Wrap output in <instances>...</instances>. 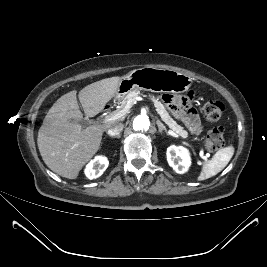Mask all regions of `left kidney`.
<instances>
[{"mask_svg":"<svg viewBox=\"0 0 267 267\" xmlns=\"http://www.w3.org/2000/svg\"><path fill=\"white\" fill-rule=\"evenodd\" d=\"M167 161L179 174L185 173L191 164L189 152L182 146H170L167 149Z\"/></svg>","mask_w":267,"mask_h":267,"instance_id":"obj_1","label":"left kidney"}]
</instances>
